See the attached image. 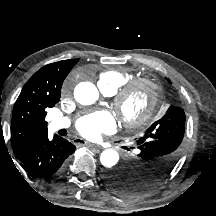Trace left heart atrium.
<instances>
[{"label":"left heart atrium","instance_id":"1","mask_svg":"<svg viewBox=\"0 0 216 216\" xmlns=\"http://www.w3.org/2000/svg\"><path fill=\"white\" fill-rule=\"evenodd\" d=\"M76 128L89 139H97L102 134L111 133L116 128L114 116L107 110H99L80 117Z\"/></svg>","mask_w":216,"mask_h":216}]
</instances>
